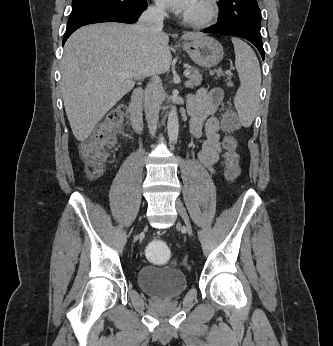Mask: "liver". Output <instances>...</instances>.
Listing matches in <instances>:
<instances>
[{"label": "liver", "instance_id": "1", "mask_svg": "<svg viewBox=\"0 0 333 346\" xmlns=\"http://www.w3.org/2000/svg\"><path fill=\"white\" fill-rule=\"evenodd\" d=\"M203 35L185 33L184 40ZM169 38L147 35L137 25L100 23L81 27L66 41L61 62V92L73 135L85 141L102 117L135 86L133 78L166 73L172 55Z\"/></svg>", "mask_w": 333, "mask_h": 346}]
</instances>
